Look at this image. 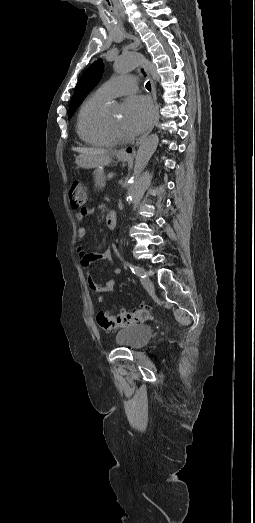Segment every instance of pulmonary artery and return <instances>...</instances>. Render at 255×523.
I'll list each match as a JSON object with an SVG mask.
<instances>
[{
    "mask_svg": "<svg viewBox=\"0 0 255 523\" xmlns=\"http://www.w3.org/2000/svg\"><path fill=\"white\" fill-rule=\"evenodd\" d=\"M121 79V80H120ZM137 89V80L133 76H120L115 80H111L102 84L99 90L106 96L113 98L121 95L129 96L130 92H135Z\"/></svg>",
    "mask_w": 255,
    "mask_h": 523,
    "instance_id": "1",
    "label": "pulmonary artery"
}]
</instances>
